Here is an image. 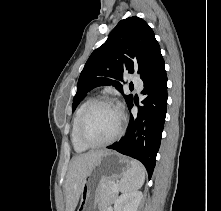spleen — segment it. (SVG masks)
Masks as SVG:
<instances>
[{
	"mask_svg": "<svg viewBox=\"0 0 221 211\" xmlns=\"http://www.w3.org/2000/svg\"><path fill=\"white\" fill-rule=\"evenodd\" d=\"M131 168L122 176L120 191L133 192L142 187L145 181V168L139 162L131 160Z\"/></svg>",
	"mask_w": 221,
	"mask_h": 211,
	"instance_id": "spleen-1",
	"label": "spleen"
}]
</instances>
